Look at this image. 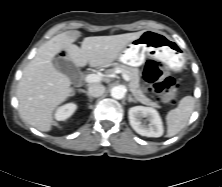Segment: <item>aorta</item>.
<instances>
[{"instance_id": "aorta-1", "label": "aorta", "mask_w": 222, "mask_h": 187, "mask_svg": "<svg viewBox=\"0 0 222 187\" xmlns=\"http://www.w3.org/2000/svg\"><path fill=\"white\" fill-rule=\"evenodd\" d=\"M111 96L114 99H122L125 96V89L122 86H115L111 89Z\"/></svg>"}]
</instances>
